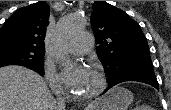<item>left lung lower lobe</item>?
Returning a JSON list of instances; mask_svg holds the SVG:
<instances>
[{
	"label": "left lung lower lobe",
	"mask_w": 171,
	"mask_h": 110,
	"mask_svg": "<svg viewBox=\"0 0 171 110\" xmlns=\"http://www.w3.org/2000/svg\"><path fill=\"white\" fill-rule=\"evenodd\" d=\"M125 81H138V82H143V83H147L153 87H155L156 89H158V82L155 76H149V75H131V76H126L123 78H120L112 83L109 84L108 88L104 91L106 92L107 90H109L110 88H112L113 86H115L116 84H119L121 82H125Z\"/></svg>",
	"instance_id": "0a47b994"
}]
</instances>
